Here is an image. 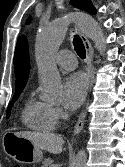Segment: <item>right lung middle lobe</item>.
<instances>
[{
    "label": "right lung middle lobe",
    "instance_id": "dd1d6c3e",
    "mask_svg": "<svg viewBox=\"0 0 125 167\" xmlns=\"http://www.w3.org/2000/svg\"><path fill=\"white\" fill-rule=\"evenodd\" d=\"M23 89L24 88H16V92H18V94H15L14 96H13V99H12V101L9 103V105H8V109H7V118L10 116V110H11V108H12V106H13V104H14V102L17 100V98L19 97V94L23 91Z\"/></svg>",
    "mask_w": 125,
    "mask_h": 167
}]
</instances>
